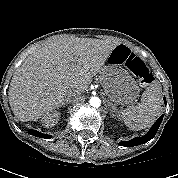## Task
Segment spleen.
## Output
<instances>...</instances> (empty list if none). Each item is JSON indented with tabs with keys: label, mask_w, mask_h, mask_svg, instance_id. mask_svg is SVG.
I'll return each mask as SVG.
<instances>
[{
	"label": "spleen",
	"mask_w": 178,
	"mask_h": 178,
	"mask_svg": "<svg viewBox=\"0 0 178 178\" xmlns=\"http://www.w3.org/2000/svg\"><path fill=\"white\" fill-rule=\"evenodd\" d=\"M162 89L158 81H153L142 94L141 103L118 110V116L132 130L149 127L161 108Z\"/></svg>",
	"instance_id": "spleen-1"
}]
</instances>
